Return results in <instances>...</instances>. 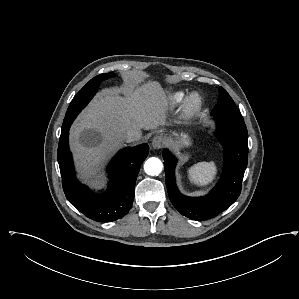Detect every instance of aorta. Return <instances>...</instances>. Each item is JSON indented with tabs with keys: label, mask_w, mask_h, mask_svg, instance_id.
I'll use <instances>...</instances> for the list:
<instances>
[{
	"label": "aorta",
	"mask_w": 299,
	"mask_h": 299,
	"mask_svg": "<svg viewBox=\"0 0 299 299\" xmlns=\"http://www.w3.org/2000/svg\"><path fill=\"white\" fill-rule=\"evenodd\" d=\"M163 164L160 159L156 157H151L146 160L144 164V170L146 174L151 176H157L161 173Z\"/></svg>",
	"instance_id": "1"
}]
</instances>
